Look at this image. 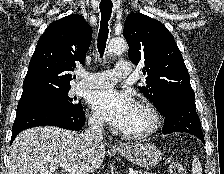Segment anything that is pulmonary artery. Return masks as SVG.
I'll return each mask as SVG.
<instances>
[{"label": "pulmonary artery", "mask_w": 224, "mask_h": 174, "mask_svg": "<svg viewBox=\"0 0 224 174\" xmlns=\"http://www.w3.org/2000/svg\"><path fill=\"white\" fill-rule=\"evenodd\" d=\"M132 73V66L127 61H120L113 70L88 73L80 72L81 80L77 83L79 88H101L113 85L119 79L128 77Z\"/></svg>", "instance_id": "pulmonary-artery-1"}]
</instances>
